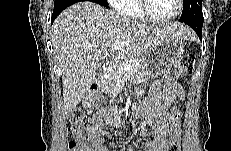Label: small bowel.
Instances as JSON below:
<instances>
[{
  "mask_svg": "<svg viewBox=\"0 0 231 151\" xmlns=\"http://www.w3.org/2000/svg\"><path fill=\"white\" fill-rule=\"evenodd\" d=\"M184 97L182 86L170 77L152 85L151 97L135 113L136 117L146 120L151 126V129L141 131V136L148 138L144 151H165L170 136L169 108ZM104 118V114L97 113L88 119L87 137L79 143L78 151H109L105 145L108 132L102 125Z\"/></svg>",
  "mask_w": 231,
  "mask_h": 151,
  "instance_id": "small-bowel-1",
  "label": "small bowel"
}]
</instances>
